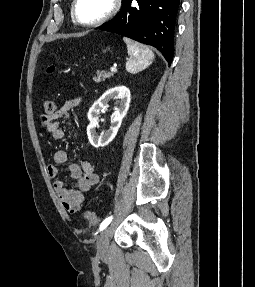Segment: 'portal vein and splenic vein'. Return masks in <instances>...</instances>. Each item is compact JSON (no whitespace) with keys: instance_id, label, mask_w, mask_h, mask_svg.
Returning a JSON list of instances; mask_svg holds the SVG:
<instances>
[{"instance_id":"18ae733b","label":"portal vein and splenic vein","mask_w":255,"mask_h":287,"mask_svg":"<svg viewBox=\"0 0 255 287\" xmlns=\"http://www.w3.org/2000/svg\"><path fill=\"white\" fill-rule=\"evenodd\" d=\"M110 72H117L116 66H113V68H110Z\"/></svg>"}]
</instances>
